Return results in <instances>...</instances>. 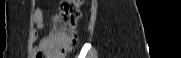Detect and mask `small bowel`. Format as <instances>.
<instances>
[{
	"mask_svg": "<svg viewBox=\"0 0 181 58\" xmlns=\"http://www.w3.org/2000/svg\"><path fill=\"white\" fill-rule=\"evenodd\" d=\"M33 21L36 27L35 36H38L39 31L44 27V13L43 9L38 6L34 10ZM48 51V37L43 38L37 47L33 48V54L36 57L39 53L43 54Z\"/></svg>",
	"mask_w": 181,
	"mask_h": 58,
	"instance_id": "1",
	"label": "small bowel"
}]
</instances>
